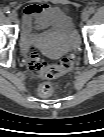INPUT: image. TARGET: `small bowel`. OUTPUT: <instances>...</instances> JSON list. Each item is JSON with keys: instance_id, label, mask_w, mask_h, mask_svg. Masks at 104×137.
I'll return each instance as SVG.
<instances>
[{"instance_id": "c3829d8e", "label": "small bowel", "mask_w": 104, "mask_h": 137, "mask_svg": "<svg viewBox=\"0 0 104 137\" xmlns=\"http://www.w3.org/2000/svg\"><path fill=\"white\" fill-rule=\"evenodd\" d=\"M23 24L26 39L31 41L34 37L33 30L35 28H70L71 19L68 12L61 6L30 4L24 10Z\"/></svg>"}]
</instances>
